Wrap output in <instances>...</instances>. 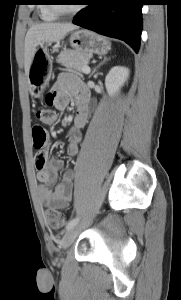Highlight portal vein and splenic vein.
Returning a JSON list of instances; mask_svg holds the SVG:
<instances>
[{
	"label": "portal vein and splenic vein",
	"instance_id": "1",
	"mask_svg": "<svg viewBox=\"0 0 181 300\" xmlns=\"http://www.w3.org/2000/svg\"><path fill=\"white\" fill-rule=\"evenodd\" d=\"M82 71H83V73L88 74V73H90V68L88 66H84L82 68Z\"/></svg>",
	"mask_w": 181,
	"mask_h": 300
}]
</instances>
